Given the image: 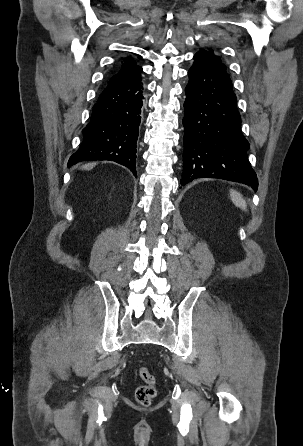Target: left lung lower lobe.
Wrapping results in <instances>:
<instances>
[{
	"label": "left lung lower lobe",
	"mask_w": 303,
	"mask_h": 446,
	"mask_svg": "<svg viewBox=\"0 0 303 446\" xmlns=\"http://www.w3.org/2000/svg\"><path fill=\"white\" fill-rule=\"evenodd\" d=\"M188 76L181 184L196 178H219L257 190L258 180L246 154L249 143L241 132V116L229 75L199 53Z\"/></svg>",
	"instance_id": "0a47b994"
}]
</instances>
